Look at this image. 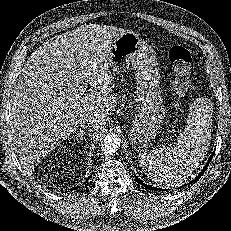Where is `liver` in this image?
I'll list each match as a JSON object with an SVG mask.
<instances>
[{
	"mask_svg": "<svg viewBox=\"0 0 231 231\" xmlns=\"http://www.w3.org/2000/svg\"><path fill=\"white\" fill-rule=\"evenodd\" d=\"M125 32L114 26L81 25L47 40L28 58L12 95L8 131L27 168L69 138L83 116L96 119L95 131L106 124L118 98L109 51ZM84 82L93 88L91 93L82 91Z\"/></svg>",
	"mask_w": 231,
	"mask_h": 231,
	"instance_id": "6515ba94",
	"label": "liver"
}]
</instances>
